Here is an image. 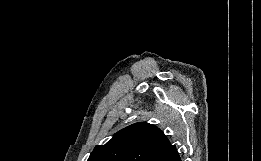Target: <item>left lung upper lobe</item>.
Here are the masks:
<instances>
[{
	"label": "left lung upper lobe",
	"mask_w": 261,
	"mask_h": 161,
	"mask_svg": "<svg viewBox=\"0 0 261 161\" xmlns=\"http://www.w3.org/2000/svg\"><path fill=\"white\" fill-rule=\"evenodd\" d=\"M169 145L159 128L139 122L117 132L105 145H97L87 161H152Z\"/></svg>",
	"instance_id": "left-lung-upper-lobe-1"
}]
</instances>
